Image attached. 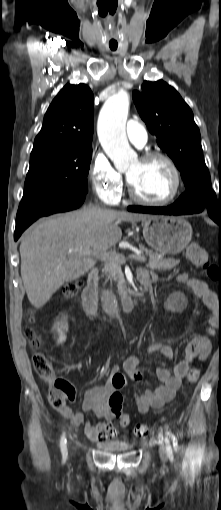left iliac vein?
I'll return each mask as SVG.
<instances>
[{"label":"left iliac vein","instance_id":"obj_1","mask_svg":"<svg viewBox=\"0 0 221 510\" xmlns=\"http://www.w3.org/2000/svg\"><path fill=\"white\" fill-rule=\"evenodd\" d=\"M160 457H161L162 461H165V459H166V452H165L164 446H162L161 449H160Z\"/></svg>","mask_w":221,"mask_h":510}]
</instances>
